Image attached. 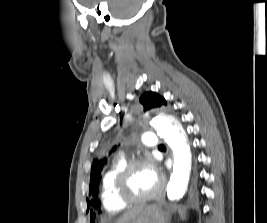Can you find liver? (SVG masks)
Wrapping results in <instances>:
<instances>
[{"instance_id": "1", "label": "liver", "mask_w": 267, "mask_h": 223, "mask_svg": "<svg viewBox=\"0 0 267 223\" xmlns=\"http://www.w3.org/2000/svg\"><path fill=\"white\" fill-rule=\"evenodd\" d=\"M142 209H143V206H138V207L128 210L120 217V219L116 223H127L129 220L137 216L141 212Z\"/></svg>"}]
</instances>
